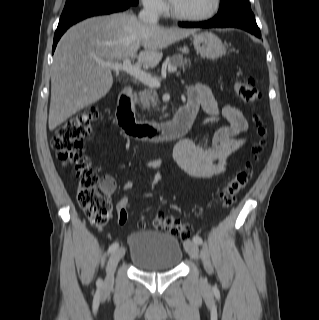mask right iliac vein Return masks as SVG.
I'll return each instance as SVG.
<instances>
[{
  "label": "right iliac vein",
  "mask_w": 319,
  "mask_h": 320,
  "mask_svg": "<svg viewBox=\"0 0 319 320\" xmlns=\"http://www.w3.org/2000/svg\"><path fill=\"white\" fill-rule=\"evenodd\" d=\"M124 253H125V250L123 247H119L112 252L107 265V275L104 281L105 288H110L112 286L116 266L120 261V259L123 257Z\"/></svg>",
  "instance_id": "1"
}]
</instances>
